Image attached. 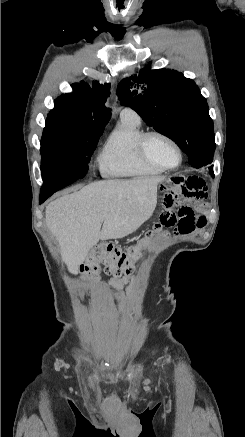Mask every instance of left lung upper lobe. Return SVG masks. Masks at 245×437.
<instances>
[{"mask_svg":"<svg viewBox=\"0 0 245 437\" xmlns=\"http://www.w3.org/2000/svg\"><path fill=\"white\" fill-rule=\"evenodd\" d=\"M117 93L122 105L175 141L191 166L200 168L212 162L213 121L206 99L191 79L174 70H150L149 65L138 76L123 79Z\"/></svg>","mask_w":245,"mask_h":437,"instance_id":"obj_1","label":"left lung upper lobe"}]
</instances>
